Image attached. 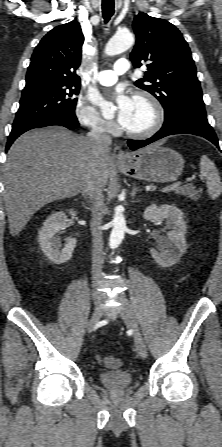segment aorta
Listing matches in <instances>:
<instances>
[{
	"instance_id": "obj_1",
	"label": "aorta",
	"mask_w": 222,
	"mask_h": 447,
	"mask_svg": "<svg viewBox=\"0 0 222 447\" xmlns=\"http://www.w3.org/2000/svg\"><path fill=\"white\" fill-rule=\"evenodd\" d=\"M134 43V36L128 30L118 31L107 43L105 47L106 55L113 56L123 53ZM88 99L93 105L98 106L104 113L111 108V103L105 101L97 91L92 90ZM126 231V221L121 207L115 208V214L112 220V231L109 239L110 248H116L120 245Z\"/></svg>"
}]
</instances>
